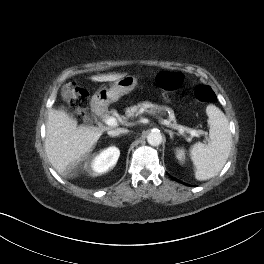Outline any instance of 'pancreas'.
<instances>
[{"label": "pancreas", "mask_w": 264, "mask_h": 264, "mask_svg": "<svg viewBox=\"0 0 264 264\" xmlns=\"http://www.w3.org/2000/svg\"><path fill=\"white\" fill-rule=\"evenodd\" d=\"M145 109H149L150 113L154 114L156 112L159 113L161 111L166 110V107L159 106L157 104H152V103H150L148 101L142 102V103H139L137 105H134V106L126 108L125 117H123V119L126 120V119H128L130 117H133V116H136L138 114H141ZM169 121L172 122L173 124H176V119H175L174 116L170 117Z\"/></svg>", "instance_id": "cf45deb5"}]
</instances>
